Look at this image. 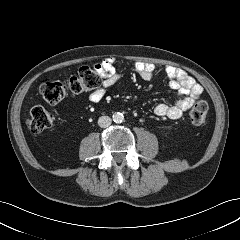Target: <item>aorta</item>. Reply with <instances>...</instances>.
<instances>
[{
  "label": "aorta",
  "mask_w": 240,
  "mask_h": 240,
  "mask_svg": "<svg viewBox=\"0 0 240 240\" xmlns=\"http://www.w3.org/2000/svg\"><path fill=\"white\" fill-rule=\"evenodd\" d=\"M124 120V116L122 113L117 112L113 114V121L116 123H121Z\"/></svg>",
  "instance_id": "aorta-1"
}]
</instances>
